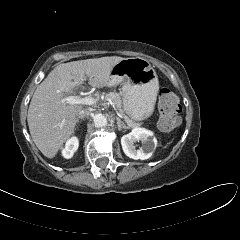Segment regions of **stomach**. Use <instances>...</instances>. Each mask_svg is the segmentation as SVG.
<instances>
[{
	"label": "stomach",
	"mask_w": 240,
	"mask_h": 240,
	"mask_svg": "<svg viewBox=\"0 0 240 240\" xmlns=\"http://www.w3.org/2000/svg\"><path fill=\"white\" fill-rule=\"evenodd\" d=\"M121 84L123 111L133 120L149 118L159 90L158 77L148 60L135 57L117 63L108 86Z\"/></svg>",
	"instance_id": "stomach-1"
}]
</instances>
